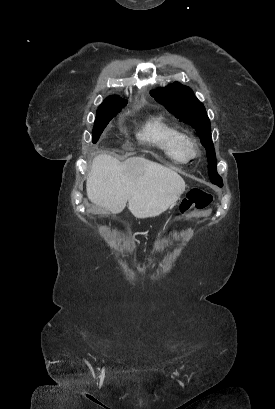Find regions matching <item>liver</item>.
Instances as JSON below:
<instances>
[{"mask_svg":"<svg viewBox=\"0 0 275 409\" xmlns=\"http://www.w3.org/2000/svg\"><path fill=\"white\" fill-rule=\"evenodd\" d=\"M185 182L175 170L143 156L123 162L109 154L93 158L86 180L87 196L110 215L128 209L136 219L158 217L185 190Z\"/></svg>","mask_w":275,"mask_h":409,"instance_id":"6515ba94","label":"liver"}]
</instances>
